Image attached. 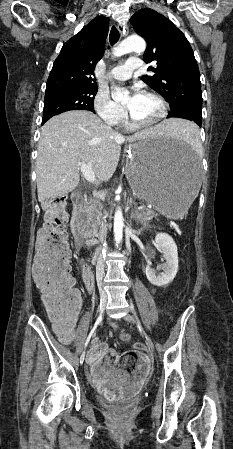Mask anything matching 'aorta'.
Wrapping results in <instances>:
<instances>
[{"label":"aorta","instance_id":"1","mask_svg":"<svg viewBox=\"0 0 233 449\" xmlns=\"http://www.w3.org/2000/svg\"><path fill=\"white\" fill-rule=\"evenodd\" d=\"M146 49L145 41L139 36H130L122 41L117 47L114 48L113 55L120 57L124 54L135 52L143 53ZM128 94V91H121L115 87V91L112 93V98L115 101H120ZM123 213L121 208H117L114 215V237L116 244H120L123 238Z\"/></svg>","mask_w":233,"mask_h":449}]
</instances>
